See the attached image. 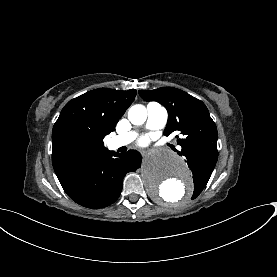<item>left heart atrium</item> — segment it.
Returning <instances> with one entry per match:
<instances>
[{
  "label": "left heart atrium",
  "instance_id": "obj_1",
  "mask_svg": "<svg viewBox=\"0 0 277 277\" xmlns=\"http://www.w3.org/2000/svg\"><path fill=\"white\" fill-rule=\"evenodd\" d=\"M148 144V139L147 138H143L141 141H140V145L141 146H147Z\"/></svg>",
  "mask_w": 277,
  "mask_h": 277
}]
</instances>
